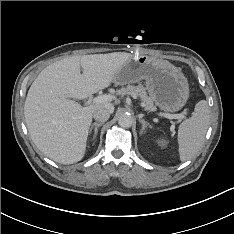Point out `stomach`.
<instances>
[{"instance_id":"0dacf381","label":"stomach","mask_w":234,"mask_h":234,"mask_svg":"<svg viewBox=\"0 0 234 234\" xmlns=\"http://www.w3.org/2000/svg\"><path fill=\"white\" fill-rule=\"evenodd\" d=\"M145 80L152 102L168 112L180 110L189 98L186 77L167 60L146 55L133 56L115 73L113 82L125 85Z\"/></svg>"}]
</instances>
